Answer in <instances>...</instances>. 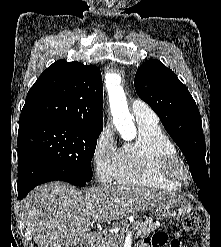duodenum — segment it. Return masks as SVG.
I'll list each match as a JSON object with an SVG mask.
<instances>
[{
  "label": "duodenum",
  "mask_w": 221,
  "mask_h": 247,
  "mask_svg": "<svg viewBox=\"0 0 221 247\" xmlns=\"http://www.w3.org/2000/svg\"><path fill=\"white\" fill-rule=\"evenodd\" d=\"M87 247H97L98 240L95 235H90L85 244Z\"/></svg>",
  "instance_id": "410a0bca"
}]
</instances>
